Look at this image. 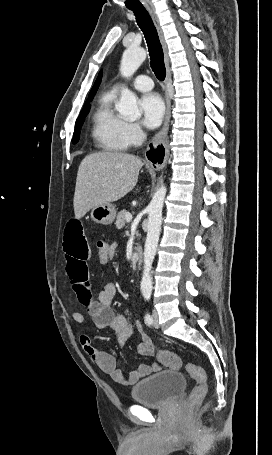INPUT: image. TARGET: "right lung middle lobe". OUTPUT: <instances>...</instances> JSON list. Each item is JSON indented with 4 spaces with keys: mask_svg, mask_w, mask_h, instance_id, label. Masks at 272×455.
I'll list each match as a JSON object with an SVG mask.
<instances>
[{
    "mask_svg": "<svg viewBox=\"0 0 272 455\" xmlns=\"http://www.w3.org/2000/svg\"><path fill=\"white\" fill-rule=\"evenodd\" d=\"M91 100L87 101L84 105V108L82 109V111L80 112V115L79 117L77 118V121H76V124H75V131H74V134H73V139H72V142L73 143H77L78 140H79V127L83 124L84 122V118L86 117L87 113L89 112V109H90V105H89V102Z\"/></svg>",
    "mask_w": 272,
    "mask_h": 455,
    "instance_id": "right-lung-middle-lobe-1",
    "label": "right lung middle lobe"
}]
</instances>
